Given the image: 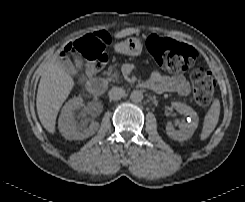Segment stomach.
I'll use <instances>...</instances> for the list:
<instances>
[{
  "label": "stomach",
  "mask_w": 245,
  "mask_h": 202,
  "mask_svg": "<svg viewBox=\"0 0 245 202\" xmlns=\"http://www.w3.org/2000/svg\"><path fill=\"white\" fill-rule=\"evenodd\" d=\"M115 51L128 56H138L142 53L143 45L137 37L127 38L125 41L117 43Z\"/></svg>",
  "instance_id": "stomach-1"
}]
</instances>
